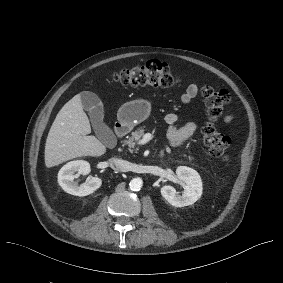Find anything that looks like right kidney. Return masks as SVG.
Segmentation results:
<instances>
[{"label":"right kidney","instance_id":"1","mask_svg":"<svg viewBox=\"0 0 283 283\" xmlns=\"http://www.w3.org/2000/svg\"><path fill=\"white\" fill-rule=\"evenodd\" d=\"M90 171V164L86 161L76 160L68 162L58 173V183L69 194L80 197L89 195L101 186V179L98 177H89L85 183L78 185L74 182V178L75 173L87 175Z\"/></svg>","mask_w":283,"mask_h":283}]
</instances>
